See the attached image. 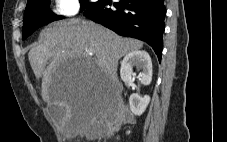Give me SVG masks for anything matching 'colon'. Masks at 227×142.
Listing matches in <instances>:
<instances>
[{
  "label": "colon",
  "instance_id": "5ec220e1",
  "mask_svg": "<svg viewBox=\"0 0 227 142\" xmlns=\"http://www.w3.org/2000/svg\"><path fill=\"white\" fill-rule=\"evenodd\" d=\"M127 120V116L123 110H119L116 113L107 117V123L109 128L115 129L119 127V125Z\"/></svg>",
  "mask_w": 227,
  "mask_h": 142
}]
</instances>
